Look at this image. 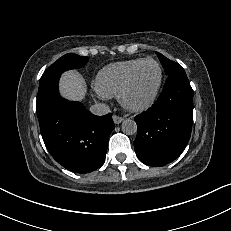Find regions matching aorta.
Returning <instances> with one entry per match:
<instances>
[{
	"label": "aorta",
	"instance_id": "aorta-1",
	"mask_svg": "<svg viewBox=\"0 0 231 231\" xmlns=\"http://www.w3.org/2000/svg\"><path fill=\"white\" fill-rule=\"evenodd\" d=\"M122 132L127 135H133L137 132V124L132 119H126L122 122L121 125Z\"/></svg>",
	"mask_w": 231,
	"mask_h": 231
}]
</instances>
